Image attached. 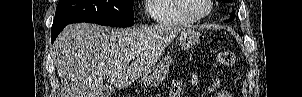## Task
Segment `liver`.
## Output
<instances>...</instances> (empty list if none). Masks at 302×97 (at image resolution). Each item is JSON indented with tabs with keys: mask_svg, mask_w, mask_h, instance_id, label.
<instances>
[{
	"mask_svg": "<svg viewBox=\"0 0 302 97\" xmlns=\"http://www.w3.org/2000/svg\"><path fill=\"white\" fill-rule=\"evenodd\" d=\"M184 28L170 25L111 29L90 23L70 24L53 45L61 78V97H101L104 80L117 88L146 74ZM132 56L133 62L127 58Z\"/></svg>",
	"mask_w": 302,
	"mask_h": 97,
	"instance_id": "6515ba94",
	"label": "liver"
}]
</instances>
